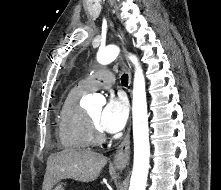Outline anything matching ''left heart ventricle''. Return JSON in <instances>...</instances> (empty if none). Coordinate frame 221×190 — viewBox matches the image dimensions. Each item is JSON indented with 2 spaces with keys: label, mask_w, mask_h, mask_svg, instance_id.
Listing matches in <instances>:
<instances>
[{
  "label": "left heart ventricle",
  "mask_w": 221,
  "mask_h": 190,
  "mask_svg": "<svg viewBox=\"0 0 221 190\" xmlns=\"http://www.w3.org/2000/svg\"><path fill=\"white\" fill-rule=\"evenodd\" d=\"M101 111H102L101 107H94L93 109L89 111V115L97 127H99V119H100Z\"/></svg>",
  "instance_id": "left-heart-ventricle-1"
}]
</instances>
